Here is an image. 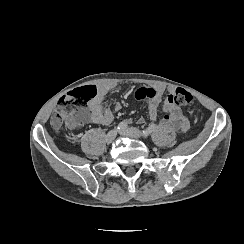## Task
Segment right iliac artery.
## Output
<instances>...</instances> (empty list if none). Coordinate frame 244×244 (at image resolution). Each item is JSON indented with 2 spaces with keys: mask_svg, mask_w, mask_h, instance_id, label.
Masks as SVG:
<instances>
[{
  "mask_svg": "<svg viewBox=\"0 0 244 244\" xmlns=\"http://www.w3.org/2000/svg\"><path fill=\"white\" fill-rule=\"evenodd\" d=\"M127 122H125V121H122V122H120L119 124H118V126H117V130H124V129H126L127 128Z\"/></svg>",
  "mask_w": 244,
  "mask_h": 244,
  "instance_id": "obj_1",
  "label": "right iliac artery"
}]
</instances>
